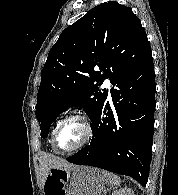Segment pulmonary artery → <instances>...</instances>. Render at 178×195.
Returning a JSON list of instances; mask_svg holds the SVG:
<instances>
[{
	"instance_id": "pulmonary-artery-1",
	"label": "pulmonary artery",
	"mask_w": 178,
	"mask_h": 195,
	"mask_svg": "<svg viewBox=\"0 0 178 195\" xmlns=\"http://www.w3.org/2000/svg\"><path fill=\"white\" fill-rule=\"evenodd\" d=\"M104 86H105L106 88H108V90H109V92H110V89H111V82H110L109 79L105 80Z\"/></svg>"
}]
</instances>
